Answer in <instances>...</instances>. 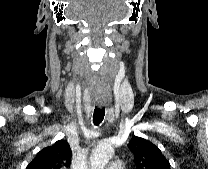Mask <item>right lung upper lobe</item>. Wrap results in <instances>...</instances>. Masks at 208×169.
<instances>
[{
    "label": "right lung upper lobe",
    "instance_id": "obj_1",
    "mask_svg": "<svg viewBox=\"0 0 208 169\" xmlns=\"http://www.w3.org/2000/svg\"><path fill=\"white\" fill-rule=\"evenodd\" d=\"M72 151L66 140H59L52 146L38 152L26 169H68Z\"/></svg>",
    "mask_w": 208,
    "mask_h": 169
}]
</instances>
